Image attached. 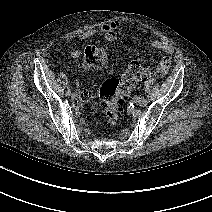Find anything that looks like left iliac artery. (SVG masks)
Masks as SVG:
<instances>
[{
	"label": "left iliac artery",
	"instance_id": "1",
	"mask_svg": "<svg viewBox=\"0 0 212 212\" xmlns=\"http://www.w3.org/2000/svg\"><path fill=\"white\" fill-rule=\"evenodd\" d=\"M148 105V101L145 98H142V106L146 107Z\"/></svg>",
	"mask_w": 212,
	"mask_h": 212
}]
</instances>
